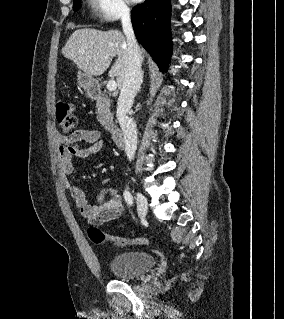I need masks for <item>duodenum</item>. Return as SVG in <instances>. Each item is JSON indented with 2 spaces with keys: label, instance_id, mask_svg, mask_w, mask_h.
Returning a JSON list of instances; mask_svg holds the SVG:
<instances>
[{
  "label": "duodenum",
  "instance_id": "410a0bca",
  "mask_svg": "<svg viewBox=\"0 0 284 319\" xmlns=\"http://www.w3.org/2000/svg\"><path fill=\"white\" fill-rule=\"evenodd\" d=\"M91 97L98 99L100 97L98 91L92 89L90 91ZM104 128L110 133L113 142L117 147H123L125 144V137L122 131L112 122H106Z\"/></svg>",
  "mask_w": 284,
  "mask_h": 319
}]
</instances>
